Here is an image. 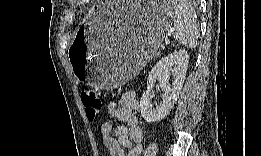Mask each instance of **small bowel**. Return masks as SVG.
Returning a JSON list of instances; mask_svg holds the SVG:
<instances>
[{
  "instance_id": "c3829d8e",
  "label": "small bowel",
  "mask_w": 261,
  "mask_h": 156,
  "mask_svg": "<svg viewBox=\"0 0 261 156\" xmlns=\"http://www.w3.org/2000/svg\"><path fill=\"white\" fill-rule=\"evenodd\" d=\"M139 103L135 92L129 91L111 101L108 113L125 123L101 125L103 144L111 156H139L143 151V131L137 117Z\"/></svg>"
}]
</instances>
